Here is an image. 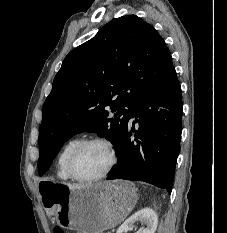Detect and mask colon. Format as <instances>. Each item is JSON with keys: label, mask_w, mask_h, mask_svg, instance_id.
Returning a JSON list of instances; mask_svg holds the SVG:
<instances>
[{"label": "colon", "mask_w": 227, "mask_h": 233, "mask_svg": "<svg viewBox=\"0 0 227 233\" xmlns=\"http://www.w3.org/2000/svg\"><path fill=\"white\" fill-rule=\"evenodd\" d=\"M54 233H67L64 229L60 227H55Z\"/></svg>", "instance_id": "obj_1"}]
</instances>
